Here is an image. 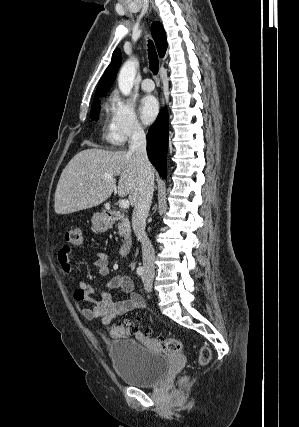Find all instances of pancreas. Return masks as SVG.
Returning a JSON list of instances; mask_svg holds the SVG:
<instances>
[{
	"instance_id": "obj_1",
	"label": "pancreas",
	"mask_w": 299,
	"mask_h": 427,
	"mask_svg": "<svg viewBox=\"0 0 299 427\" xmlns=\"http://www.w3.org/2000/svg\"><path fill=\"white\" fill-rule=\"evenodd\" d=\"M118 232L120 236L126 238L127 240L131 239L130 222L127 217L122 216L121 222L118 223Z\"/></svg>"
}]
</instances>
